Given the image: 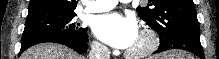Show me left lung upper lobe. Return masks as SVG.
I'll return each mask as SVG.
<instances>
[{
    "mask_svg": "<svg viewBox=\"0 0 219 59\" xmlns=\"http://www.w3.org/2000/svg\"><path fill=\"white\" fill-rule=\"evenodd\" d=\"M146 7H138V15L160 38L167 42L181 32L199 30L193 0H149Z\"/></svg>",
    "mask_w": 219,
    "mask_h": 59,
    "instance_id": "5c2ea615",
    "label": "left lung upper lobe"
}]
</instances>
